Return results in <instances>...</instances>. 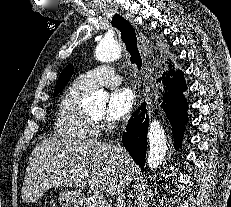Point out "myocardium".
<instances>
[{
  "instance_id": "1",
  "label": "myocardium",
  "mask_w": 231,
  "mask_h": 207,
  "mask_svg": "<svg viewBox=\"0 0 231 207\" xmlns=\"http://www.w3.org/2000/svg\"><path fill=\"white\" fill-rule=\"evenodd\" d=\"M98 120H99V119H94L93 121H94L95 123H97V122H98Z\"/></svg>"
}]
</instances>
